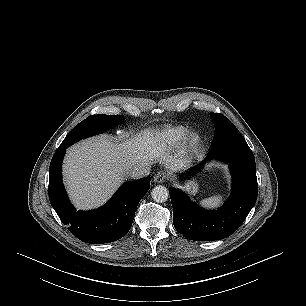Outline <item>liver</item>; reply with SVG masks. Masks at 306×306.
<instances>
[{"instance_id": "obj_1", "label": "liver", "mask_w": 306, "mask_h": 306, "mask_svg": "<svg viewBox=\"0 0 306 306\" xmlns=\"http://www.w3.org/2000/svg\"><path fill=\"white\" fill-rule=\"evenodd\" d=\"M160 161L171 171L183 161L171 155L164 131H145L122 141L98 136L71 146L63 165L65 185L79 209H91L106 202L127 172L137 164Z\"/></svg>"}]
</instances>
